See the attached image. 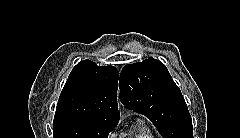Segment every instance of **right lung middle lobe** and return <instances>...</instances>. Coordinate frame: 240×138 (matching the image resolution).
Listing matches in <instances>:
<instances>
[{"label": "right lung middle lobe", "mask_w": 240, "mask_h": 138, "mask_svg": "<svg viewBox=\"0 0 240 138\" xmlns=\"http://www.w3.org/2000/svg\"><path fill=\"white\" fill-rule=\"evenodd\" d=\"M116 125L75 118H55L54 138H107Z\"/></svg>", "instance_id": "obj_1"}]
</instances>
